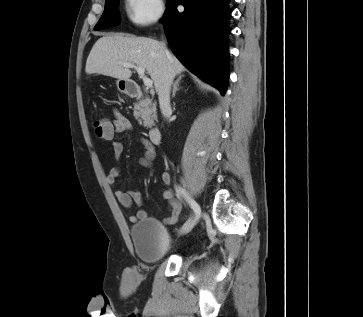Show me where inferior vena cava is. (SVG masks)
Here are the masks:
<instances>
[{"label": "inferior vena cava", "instance_id": "obj_1", "mask_svg": "<svg viewBox=\"0 0 363 317\" xmlns=\"http://www.w3.org/2000/svg\"><path fill=\"white\" fill-rule=\"evenodd\" d=\"M164 52L168 60L171 59V55L169 51L166 49L165 43H162ZM175 73L172 69L170 62L167 63L165 68L163 77L160 82V86L158 89V98L160 109L164 117H168L171 113V106H170V89L174 79Z\"/></svg>", "mask_w": 363, "mask_h": 317}]
</instances>
